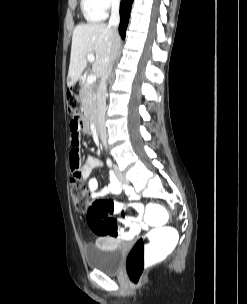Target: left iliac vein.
Wrapping results in <instances>:
<instances>
[{
    "label": "left iliac vein",
    "mask_w": 247,
    "mask_h": 304,
    "mask_svg": "<svg viewBox=\"0 0 247 304\" xmlns=\"http://www.w3.org/2000/svg\"><path fill=\"white\" fill-rule=\"evenodd\" d=\"M114 171L116 174L117 179L124 184H128L129 180L124 176V174H122V172L119 170L118 166L115 164L114 165Z\"/></svg>",
    "instance_id": "left-iliac-vein-1"
}]
</instances>
